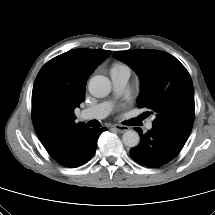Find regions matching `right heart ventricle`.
Here are the masks:
<instances>
[{
	"label": "right heart ventricle",
	"instance_id": "1",
	"mask_svg": "<svg viewBox=\"0 0 215 215\" xmlns=\"http://www.w3.org/2000/svg\"><path fill=\"white\" fill-rule=\"evenodd\" d=\"M119 69H128L125 65L120 64V63H116L113 65L112 70H119Z\"/></svg>",
	"mask_w": 215,
	"mask_h": 215
}]
</instances>
